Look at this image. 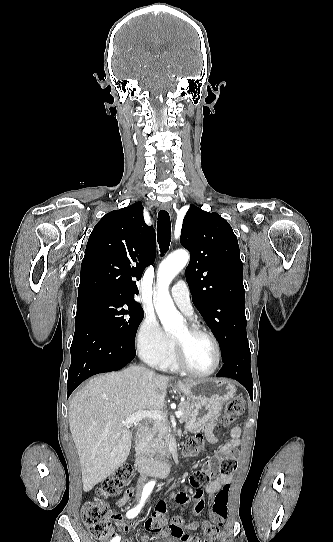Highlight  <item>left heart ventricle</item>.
Wrapping results in <instances>:
<instances>
[{
	"mask_svg": "<svg viewBox=\"0 0 333 542\" xmlns=\"http://www.w3.org/2000/svg\"><path fill=\"white\" fill-rule=\"evenodd\" d=\"M171 338L181 345L185 361L193 371L206 372L214 366L215 348L206 336L191 334L186 327Z\"/></svg>",
	"mask_w": 333,
	"mask_h": 542,
	"instance_id": "1",
	"label": "left heart ventricle"
}]
</instances>
